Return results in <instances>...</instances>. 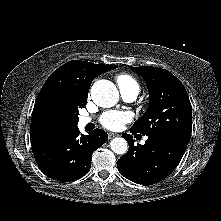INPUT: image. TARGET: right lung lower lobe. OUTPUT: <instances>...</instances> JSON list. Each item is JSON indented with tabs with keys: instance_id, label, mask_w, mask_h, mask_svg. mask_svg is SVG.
<instances>
[{
	"instance_id": "obj_1",
	"label": "right lung lower lobe",
	"mask_w": 221,
	"mask_h": 221,
	"mask_svg": "<svg viewBox=\"0 0 221 221\" xmlns=\"http://www.w3.org/2000/svg\"><path fill=\"white\" fill-rule=\"evenodd\" d=\"M108 140L104 130L80 134L77 126L52 138L32 145V152L41 171L52 179L69 182L84 176L90 169L92 153Z\"/></svg>"
}]
</instances>
